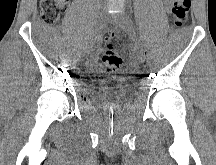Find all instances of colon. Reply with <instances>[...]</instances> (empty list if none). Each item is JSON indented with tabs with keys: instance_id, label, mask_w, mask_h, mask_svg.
<instances>
[{
	"instance_id": "colon-1",
	"label": "colon",
	"mask_w": 216,
	"mask_h": 165,
	"mask_svg": "<svg viewBox=\"0 0 216 165\" xmlns=\"http://www.w3.org/2000/svg\"><path fill=\"white\" fill-rule=\"evenodd\" d=\"M175 26L181 27L188 18L190 0H168ZM67 0H40V13L44 21L54 23L66 6ZM114 38L107 40L106 50L102 56L103 69L108 73L117 72L123 65V60L114 49Z\"/></svg>"
}]
</instances>
